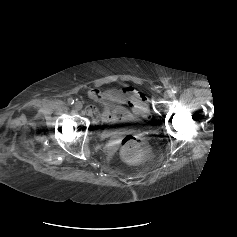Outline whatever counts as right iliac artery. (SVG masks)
I'll return each instance as SVG.
<instances>
[{
  "mask_svg": "<svg viewBox=\"0 0 237 237\" xmlns=\"http://www.w3.org/2000/svg\"><path fill=\"white\" fill-rule=\"evenodd\" d=\"M68 103H69L70 105L74 104V99H73V98H69V99H68Z\"/></svg>",
  "mask_w": 237,
  "mask_h": 237,
  "instance_id": "82829eb1",
  "label": "right iliac artery"
}]
</instances>
